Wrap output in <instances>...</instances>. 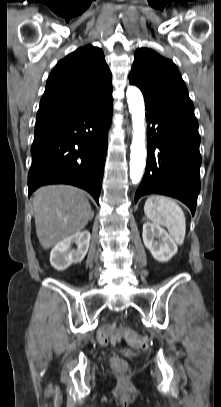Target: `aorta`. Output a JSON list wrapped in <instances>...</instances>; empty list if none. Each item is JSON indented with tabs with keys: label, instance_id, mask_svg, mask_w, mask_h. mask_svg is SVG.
<instances>
[{
	"label": "aorta",
	"instance_id": "1",
	"mask_svg": "<svg viewBox=\"0 0 221 407\" xmlns=\"http://www.w3.org/2000/svg\"><path fill=\"white\" fill-rule=\"evenodd\" d=\"M126 97L133 125L130 178L133 184H138L141 181L146 165L144 98L141 91L135 86L127 88Z\"/></svg>",
	"mask_w": 221,
	"mask_h": 407
}]
</instances>
